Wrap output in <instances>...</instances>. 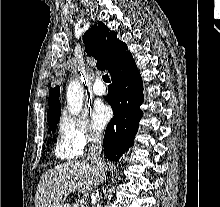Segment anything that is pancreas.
I'll use <instances>...</instances> for the list:
<instances>
[{
    "instance_id": "cf45deb5",
    "label": "pancreas",
    "mask_w": 220,
    "mask_h": 207,
    "mask_svg": "<svg viewBox=\"0 0 220 207\" xmlns=\"http://www.w3.org/2000/svg\"><path fill=\"white\" fill-rule=\"evenodd\" d=\"M69 207H81V204L79 203V201H77L73 206H69Z\"/></svg>"
}]
</instances>
